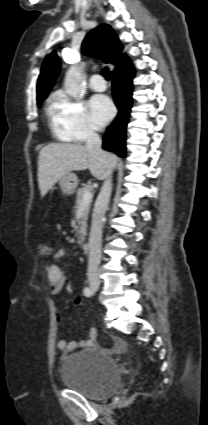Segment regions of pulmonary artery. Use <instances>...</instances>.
Masks as SVG:
<instances>
[{
    "label": "pulmonary artery",
    "mask_w": 208,
    "mask_h": 425,
    "mask_svg": "<svg viewBox=\"0 0 208 425\" xmlns=\"http://www.w3.org/2000/svg\"><path fill=\"white\" fill-rule=\"evenodd\" d=\"M90 87L95 91H104L106 89V82L102 75L93 74L89 81Z\"/></svg>",
    "instance_id": "1"
}]
</instances>
